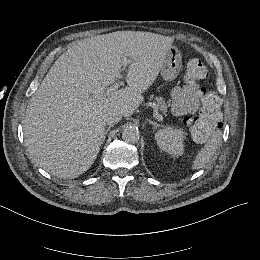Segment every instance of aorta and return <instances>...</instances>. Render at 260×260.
<instances>
[{"mask_svg": "<svg viewBox=\"0 0 260 260\" xmlns=\"http://www.w3.org/2000/svg\"><path fill=\"white\" fill-rule=\"evenodd\" d=\"M140 134L136 127L127 126L122 131V139L130 144H135L139 141Z\"/></svg>", "mask_w": 260, "mask_h": 260, "instance_id": "obj_1", "label": "aorta"}]
</instances>
